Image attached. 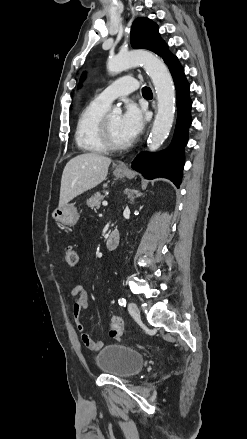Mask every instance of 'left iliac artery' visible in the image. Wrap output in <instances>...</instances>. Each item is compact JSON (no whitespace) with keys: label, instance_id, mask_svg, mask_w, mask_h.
Here are the masks:
<instances>
[{"label":"left iliac artery","instance_id":"obj_1","mask_svg":"<svg viewBox=\"0 0 247 439\" xmlns=\"http://www.w3.org/2000/svg\"><path fill=\"white\" fill-rule=\"evenodd\" d=\"M118 303L121 306H124V307L126 306V300L124 298H119Z\"/></svg>","mask_w":247,"mask_h":439}]
</instances>
